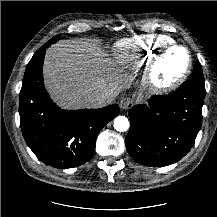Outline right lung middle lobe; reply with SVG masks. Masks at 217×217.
<instances>
[{
  "instance_id": "right-lung-middle-lobe-1",
  "label": "right lung middle lobe",
  "mask_w": 217,
  "mask_h": 217,
  "mask_svg": "<svg viewBox=\"0 0 217 217\" xmlns=\"http://www.w3.org/2000/svg\"><path fill=\"white\" fill-rule=\"evenodd\" d=\"M60 37V34L57 36H54L52 39H50L45 45H43L42 47H49L51 44H54L55 42L58 41Z\"/></svg>"
}]
</instances>
